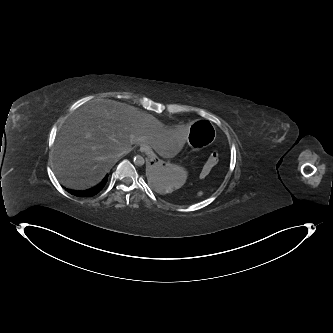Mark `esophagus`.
Returning a JSON list of instances; mask_svg holds the SVG:
<instances>
[{
  "label": "esophagus",
  "mask_w": 333,
  "mask_h": 333,
  "mask_svg": "<svg viewBox=\"0 0 333 333\" xmlns=\"http://www.w3.org/2000/svg\"><path fill=\"white\" fill-rule=\"evenodd\" d=\"M148 146L146 145V144H142L141 146H140V151L141 152H145V151H147L148 150Z\"/></svg>",
  "instance_id": "esophagus-1"
}]
</instances>
